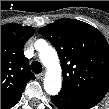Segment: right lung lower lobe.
Returning a JSON list of instances; mask_svg holds the SVG:
<instances>
[{
  "label": "right lung lower lobe",
  "instance_id": "98d812e1",
  "mask_svg": "<svg viewBox=\"0 0 109 109\" xmlns=\"http://www.w3.org/2000/svg\"><path fill=\"white\" fill-rule=\"evenodd\" d=\"M21 95L22 93L15 97L11 102L8 103V105L4 109H10L12 106H14L19 101Z\"/></svg>",
  "mask_w": 109,
  "mask_h": 109
}]
</instances>
